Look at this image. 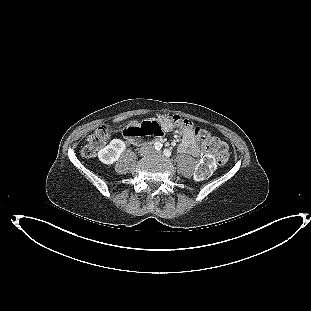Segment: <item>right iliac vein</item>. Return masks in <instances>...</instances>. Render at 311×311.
I'll return each mask as SVG.
<instances>
[{"instance_id":"obj_1","label":"right iliac vein","mask_w":311,"mask_h":311,"mask_svg":"<svg viewBox=\"0 0 311 311\" xmlns=\"http://www.w3.org/2000/svg\"><path fill=\"white\" fill-rule=\"evenodd\" d=\"M149 153H150V150H149L148 147L142 148L141 151H140V155H142V156H145V155H147Z\"/></svg>"}]
</instances>
